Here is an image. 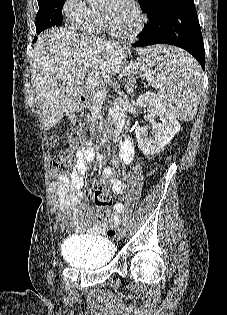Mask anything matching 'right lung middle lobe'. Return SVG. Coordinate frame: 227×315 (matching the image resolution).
Listing matches in <instances>:
<instances>
[{
    "instance_id": "right-lung-middle-lobe-1",
    "label": "right lung middle lobe",
    "mask_w": 227,
    "mask_h": 315,
    "mask_svg": "<svg viewBox=\"0 0 227 315\" xmlns=\"http://www.w3.org/2000/svg\"><path fill=\"white\" fill-rule=\"evenodd\" d=\"M65 1L66 0L38 1L39 11L36 15L37 34L51 26H60L62 24V8Z\"/></svg>"
}]
</instances>
